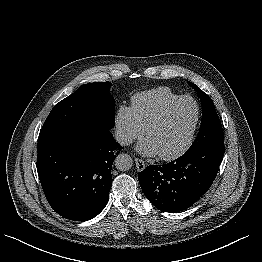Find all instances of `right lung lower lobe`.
Masks as SVG:
<instances>
[{"label":"right lung lower lobe","mask_w":262,"mask_h":262,"mask_svg":"<svg viewBox=\"0 0 262 262\" xmlns=\"http://www.w3.org/2000/svg\"><path fill=\"white\" fill-rule=\"evenodd\" d=\"M121 149L109 130L87 126L42 129L37 171L53 210L74 221L97 216L108 202L111 168Z\"/></svg>","instance_id":"right-lung-lower-lobe-1"}]
</instances>
